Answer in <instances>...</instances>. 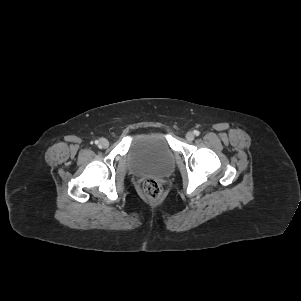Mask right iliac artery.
<instances>
[{"mask_svg": "<svg viewBox=\"0 0 301 301\" xmlns=\"http://www.w3.org/2000/svg\"><path fill=\"white\" fill-rule=\"evenodd\" d=\"M95 144H99V141H98V140H96V141H95Z\"/></svg>", "mask_w": 301, "mask_h": 301, "instance_id": "82829eb1", "label": "right iliac artery"}]
</instances>
